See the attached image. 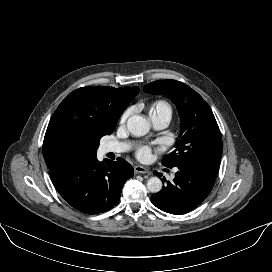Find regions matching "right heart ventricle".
<instances>
[{
    "label": "right heart ventricle",
    "mask_w": 272,
    "mask_h": 272,
    "mask_svg": "<svg viewBox=\"0 0 272 272\" xmlns=\"http://www.w3.org/2000/svg\"><path fill=\"white\" fill-rule=\"evenodd\" d=\"M148 118L152 121L156 118L164 117L169 121L172 118L173 110L171 105L162 99L155 100L145 107Z\"/></svg>",
    "instance_id": "right-heart-ventricle-1"
}]
</instances>
